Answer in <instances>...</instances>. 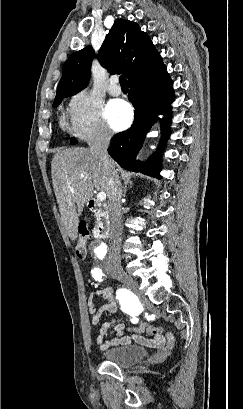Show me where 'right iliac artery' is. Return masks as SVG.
I'll use <instances>...</instances> for the list:
<instances>
[{
	"label": "right iliac artery",
	"instance_id": "obj_1",
	"mask_svg": "<svg viewBox=\"0 0 243 409\" xmlns=\"http://www.w3.org/2000/svg\"><path fill=\"white\" fill-rule=\"evenodd\" d=\"M92 276L95 280L101 281L102 280V270L99 268H94L92 271ZM117 298L119 299L120 303L123 305V307H125V310L127 313L132 312L135 313L136 315H138L137 311L131 307V298L130 295L126 292V290L123 289H119L117 292ZM133 323H137L138 322V318H135V320L133 319L132 321Z\"/></svg>",
	"mask_w": 243,
	"mask_h": 409
}]
</instances>
